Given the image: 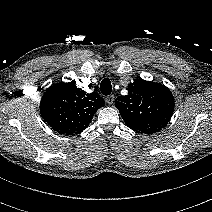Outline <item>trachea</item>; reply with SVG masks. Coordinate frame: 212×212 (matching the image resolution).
<instances>
[{
	"label": "trachea",
	"mask_w": 212,
	"mask_h": 212,
	"mask_svg": "<svg viewBox=\"0 0 212 212\" xmlns=\"http://www.w3.org/2000/svg\"><path fill=\"white\" fill-rule=\"evenodd\" d=\"M100 90H101V93L105 96H108L111 94L112 85H111V81L108 78H105L102 80L100 84Z\"/></svg>",
	"instance_id": "obj_1"
}]
</instances>
